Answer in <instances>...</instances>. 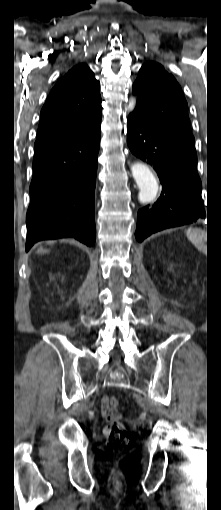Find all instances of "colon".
I'll list each match as a JSON object with an SVG mask.
<instances>
[{"label":"colon","mask_w":221,"mask_h":510,"mask_svg":"<svg viewBox=\"0 0 221 510\" xmlns=\"http://www.w3.org/2000/svg\"><path fill=\"white\" fill-rule=\"evenodd\" d=\"M110 411L107 415L109 425L105 428L107 449L112 453H118L129 448L131 444V436L126 427L119 421L120 415L117 411L119 401L111 398L109 401Z\"/></svg>","instance_id":"obj_1"}]
</instances>
